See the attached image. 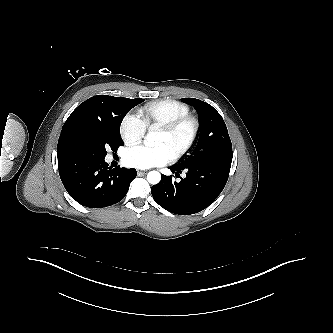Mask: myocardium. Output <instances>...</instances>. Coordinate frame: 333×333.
Returning a JSON list of instances; mask_svg holds the SVG:
<instances>
[{
    "label": "myocardium",
    "instance_id": "myocardium-1",
    "mask_svg": "<svg viewBox=\"0 0 333 333\" xmlns=\"http://www.w3.org/2000/svg\"><path fill=\"white\" fill-rule=\"evenodd\" d=\"M184 126L189 127V135L183 145L172 153L173 160H177L184 156L195 143L200 128L199 119L194 115L187 114L159 127L160 131L171 136Z\"/></svg>",
    "mask_w": 333,
    "mask_h": 333
}]
</instances>
